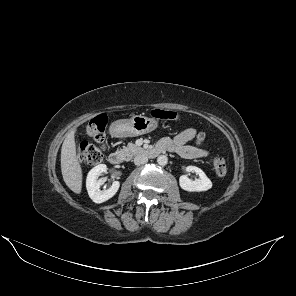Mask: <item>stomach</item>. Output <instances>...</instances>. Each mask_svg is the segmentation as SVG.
Segmentation results:
<instances>
[{
    "mask_svg": "<svg viewBox=\"0 0 296 296\" xmlns=\"http://www.w3.org/2000/svg\"><path fill=\"white\" fill-rule=\"evenodd\" d=\"M158 121L142 115H135L130 119H121L113 123L115 133L120 137H134L155 130Z\"/></svg>",
    "mask_w": 296,
    "mask_h": 296,
    "instance_id": "0dacf381",
    "label": "stomach"
}]
</instances>
